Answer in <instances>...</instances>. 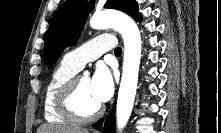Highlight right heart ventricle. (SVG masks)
Returning <instances> with one entry per match:
<instances>
[{
    "instance_id": "obj_1",
    "label": "right heart ventricle",
    "mask_w": 221,
    "mask_h": 133,
    "mask_svg": "<svg viewBox=\"0 0 221 133\" xmlns=\"http://www.w3.org/2000/svg\"><path fill=\"white\" fill-rule=\"evenodd\" d=\"M79 70L62 61L51 73L43 98L44 118L49 123L67 124L69 120L63 117L57 110L55 99L60 87L74 77Z\"/></svg>"
}]
</instances>
